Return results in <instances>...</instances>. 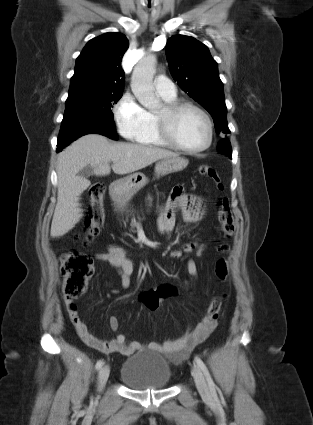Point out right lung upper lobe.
<instances>
[{
	"label": "right lung upper lobe",
	"instance_id": "right-lung-upper-lobe-1",
	"mask_svg": "<svg viewBox=\"0 0 313 425\" xmlns=\"http://www.w3.org/2000/svg\"><path fill=\"white\" fill-rule=\"evenodd\" d=\"M129 47L124 34L105 33L91 39L76 59L69 95L86 92H123L121 61Z\"/></svg>",
	"mask_w": 313,
	"mask_h": 425
}]
</instances>
